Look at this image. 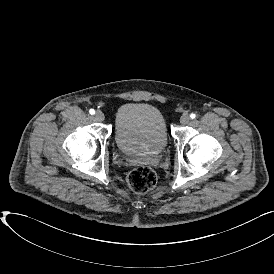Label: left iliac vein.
Wrapping results in <instances>:
<instances>
[{
  "label": "left iliac vein",
  "mask_w": 274,
  "mask_h": 274,
  "mask_svg": "<svg viewBox=\"0 0 274 274\" xmlns=\"http://www.w3.org/2000/svg\"><path fill=\"white\" fill-rule=\"evenodd\" d=\"M190 120H191L190 117L187 114H184L180 118V123L183 125H186L190 122Z\"/></svg>",
  "instance_id": "1"
}]
</instances>
